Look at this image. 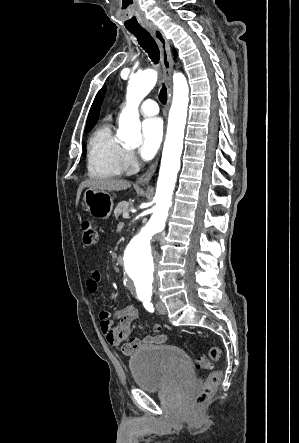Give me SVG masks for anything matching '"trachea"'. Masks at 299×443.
<instances>
[{
  "mask_svg": "<svg viewBox=\"0 0 299 443\" xmlns=\"http://www.w3.org/2000/svg\"><path fill=\"white\" fill-rule=\"evenodd\" d=\"M129 31L137 38L140 46L148 53L150 59L157 64L160 60V51L149 32L145 29ZM159 100L162 104L167 102V88L164 84L159 93Z\"/></svg>",
  "mask_w": 299,
  "mask_h": 443,
  "instance_id": "1",
  "label": "trachea"
}]
</instances>
